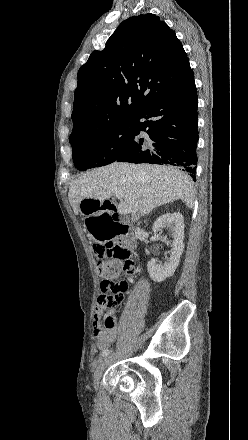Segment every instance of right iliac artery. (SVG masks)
<instances>
[{"label": "right iliac artery", "instance_id": "right-iliac-artery-1", "mask_svg": "<svg viewBox=\"0 0 248 440\" xmlns=\"http://www.w3.org/2000/svg\"><path fill=\"white\" fill-rule=\"evenodd\" d=\"M109 353H110V351H109L108 349H106V350H104V351L102 352V356H103V357L108 356Z\"/></svg>", "mask_w": 248, "mask_h": 440}]
</instances>
